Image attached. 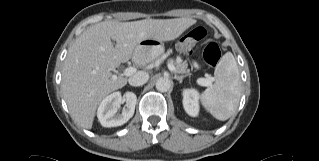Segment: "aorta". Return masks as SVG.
I'll return each instance as SVG.
<instances>
[{
	"label": "aorta",
	"instance_id": "aorta-1",
	"mask_svg": "<svg viewBox=\"0 0 319 161\" xmlns=\"http://www.w3.org/2000/svg\"><path fill=\"white\" fill-rule=\"evenodd\" d=\"M171 87V81L168 78L161 77L156 81V89L160 92H167Z\"/></svg>",
	"mask_w": 319,
	"mask_h": 161
}]
</instances>
